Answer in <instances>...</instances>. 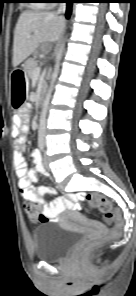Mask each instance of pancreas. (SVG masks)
<instances>
[{"instance_id": "obj_1", "label": "pancreas", "mask_w": 136, "mask_h": 296, "mask_svg": "<svg viewBox=\"0 0 136 296\" xmlns=\"http://www.w3.org/2000/svg\"><path fill=\"white\" fill-rule=\"evenodd\" d=\"M37 67L35 58L28 59L24 64V71L28 77H33V70Z\"/></svg>"}]
</instances>
